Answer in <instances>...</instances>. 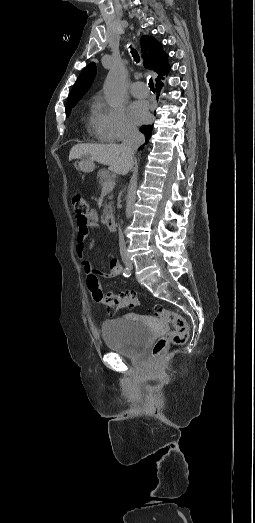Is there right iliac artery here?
Listing matches in <instances>:
<instances>
[{
	"instance_id": "right-iliac-artery-1",
	"label": "right iliac artery",
	"mask_w": 255,
	"mask_h": 523,
	"mask_svg": "<svg viewBox=\"0 0 255 523\" xmlns=\"http://www.w3.org/2000/svg\"><path fill=\"white\" fill-rule=\"evenodd\" d=\"M123 275L125 277H129L131 275V271L128 267H126L124 270H123Z\"/></svg>"
}]
</instances>
